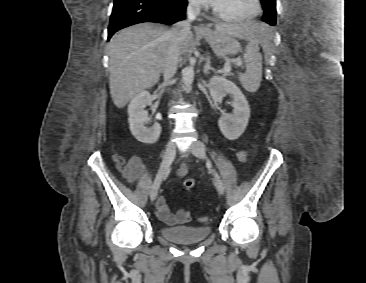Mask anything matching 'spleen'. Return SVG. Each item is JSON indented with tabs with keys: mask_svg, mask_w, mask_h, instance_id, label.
<instances>
[{
	"mask_svg": "<svg viewBox=\"0 0 366 283\" xmlns=\"http://www.w3.org/2000/svg\"><path fill=\"white\" fill-rule=\"evenodd\" d=\"M258 43L259 40L255 38L249 40L243 56L246 71L239 74L243 88L249 92L257 91L262 80V55L259 53Z\"/></svg>",
	"mask_w": 366,
	"mask_h": 283,
	"instance_id": "3e777b00",
	"label": "spleen"
}]
</instances>
